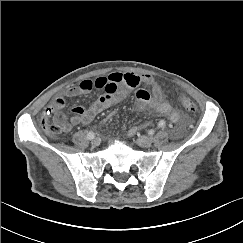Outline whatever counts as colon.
I'll return each instance as SVG.
<instances>
[{
    "mask_svg": "<svg viewBox=\"0 0 243 243\" xmlns=\"http://www.w3.org/2000/svg\"><path fill=\"white\" fill-rule=\"evenodd\" d=\"M178 102L186 111L195 112L197 109L194 102L183 93L179 94ZM65 123V118L61 113H48L41 117L42 127L49 134L54 136L60 135L66 131Z\"/></svg>",
    "mask_w": 243,
    "mask_h": 243,
    "instance_id": "5ec220e1",
    "label": "colon"
}]
</instances>
